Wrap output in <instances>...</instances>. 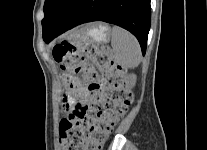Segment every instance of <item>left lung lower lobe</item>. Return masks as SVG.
I'll return each instance as SVG.
<instances>
[{
  "mask_svg": "<svg viewBox=\"0 0 207 150\" xmlns=\"http://www.w3.org/2000/svg\"><path fill=\"white\" fill-rule=\"evenodd\" d=\"M91 21H104L130 31L145 54L151 22L150 0H72L51 28L43 33L49 43L65 31Z\"/></svg>",
  "mask_w": 207,
  "mask_h": 150,
  "instance_id": "0a47b994",
  "label": "left lung lower lobe"
}]
</instances>
